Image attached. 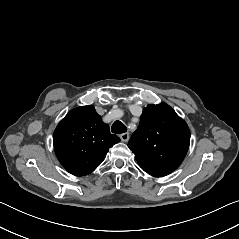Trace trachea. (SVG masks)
I'll use <instances>...</instances> for the list:
<instances>
[{
    "label": "trachea",
    "mask_w": 239,
    "mask_h": 239,
    "mask_svg": "<svg viewBox=\"0 0 239 239\" xmlns=\"http://www.w3.org/2000/svg\"><path fill=\"white\" fill-rule=\"evenodd\" d=\"M111 131L115 134H122L127 131V127L120 121H115L111 127Z\"/></svg>",
    "instance_id": "1"
}]
</instances>
